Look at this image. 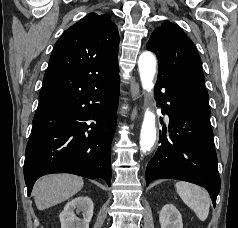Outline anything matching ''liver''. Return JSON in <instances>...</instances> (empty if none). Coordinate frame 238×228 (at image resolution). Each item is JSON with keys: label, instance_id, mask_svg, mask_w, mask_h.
Segmentation results:
<instances>
[{"label": "liver", "instance_id": "obj_1", "mask_svg": "<svg viewBox=\"0 0 238 228\" xmlns=\"http://www.w3.org/2000/svg\"><path fill=\"white\" fill-rule=\"evenodd\" d=\"M83 185V179L75 175L44 176L34 185L33 193L36 207L38 210H44L61 203L79 192Z\"/></svg>", "mask_w": 238, "mask_h": 228}]
</instances>
